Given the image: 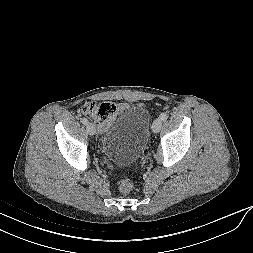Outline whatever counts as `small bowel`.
<instances>
[{"label": "small bowel", "instance_id": "c3829d8e", "mask_svg": "<svg viewBox=\"0 0 253 253\" xmlns=\"http://www.w3.org/2000/svg\"><path fill=\"white\" fill-rule=\"evenodd\" d=\"M125 106V104H120L119 105V108H122V107H124Z\"/></svg>", "mask_w": 253, "mask_h": 253}]
</instances>
